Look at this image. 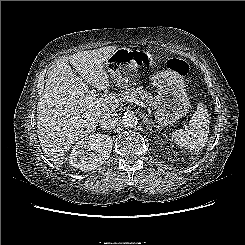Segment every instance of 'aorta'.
<instances>
[{
	"mask_svg": "<svg viewBox=\"0 0 245 245\" xmlns=\"http://www.w3.org/2000/svg\"><path fill=\"white\" fill-rule=\"evenodd\" d=\"M138 119L137 116L134 113H125L122 118V124L126 128H133L137 125Z\"/></svg>",
	"mask_w": 245,
	"mask_h": 245,
	"instance_id": "1",
	"label": "aorta"
}]
</instances>
